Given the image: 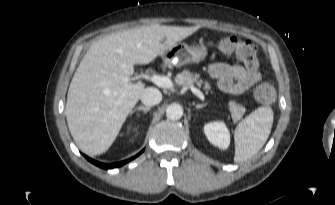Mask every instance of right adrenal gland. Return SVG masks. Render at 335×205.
I'll return each instance as SVG.
<instances>
[{
    "instance_id": "right-adrenal-gland-1",
    "label": "right adrenal gland",
    "mask_w": 335,
    "mask_h": 205,
    "mask_svg": "<svg viewBox=\"0 0 335 205\" xmlns=\"http://www.w3.org/2000/svg\"><path fill=\"white\" fill-rule=\"evenodd\" d=\"M150 109H151V107H149V106H139V107L135 108L134 110H132L131 114H133L135 111H143L144 113H147Z\"/></svg>"
}]
</instances>
